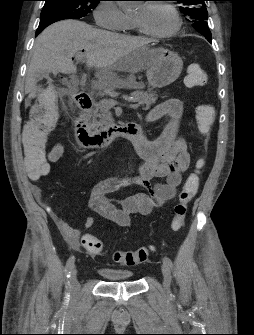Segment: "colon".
Listing matches in <instances>:
<instances>
[{"label": "colon", "instance_id": "5ec220e1", "mask_svg": "<svg viewBox=\"0 0 254 335\" xmlns=\"http://www.w3.org/2000/svg\"><path fill=\"white\" fill-rule=\"evenodd\" d=\"M206 79V73L199 64L188 66L185 79L188 87L201 86ZM58 114L59 104L56 94L52 91L43 93L30 122L23 131L24 154L20 155V160L23 164L25 178H48L49 166L48 160L45 159L47 158L45 142L49 131L57 123ZM195 115L200 132L207 135L214 121V107L210 104L199 105L195 109ZM203 166L204 160L200 158L196 163V171L188 176L178 194L171 222V228L174 231L181 230L185 224L187 205L198 191ZM83 245L95 255L101 254L103 249L102 242L94 236L83 238ZM153 250L152 246H143L135 250L116 251L113 254V260L124 266H134L146 262Z\"/></svg>", "mask_w": 254, "mask_h": 335}]
</instances>
